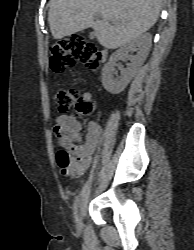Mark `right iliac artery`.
<instances>
[{
  "instance_id": "82829eb1",
  "label": "right iliac artery",
  "mask_w": 194,
  "mask_h": 250,
  "mask_svg": "<svg viewBox=\"0 0 194 250\" xmlns=\"http://www.w3.org/2000/svg\"><path fill=\"white\" fill-rule=\"evenodd\" d=\"M79 200H80V197L77 196L76 199H75V202H74L73 210H74V218H75V220L77 219V213H78V207H79Z\"/></svg>"
}]
</instances>
